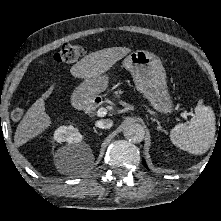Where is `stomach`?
Listing matches in <instances>:
<instances>
[{"mask_svg": "<svg viewBox=\"0 0 221 221\" xmlns=\"http://www.w3.org/2000/svg\"><path fill=\"white\" fill-rule=\"evenodd\" d=\"M123 66L131 73L137 90L149 101L158 112L170 114L174 110L168 91L165 69L161 60L155 54L137 50L129 53L123 61ZM109 83V77L100 73L85 79L73 93V97L83 101L92 100L103 92Z\"/></svg>", "mask_w": 221, "mask_h": 221, "instance_id": "0dacf381", "label": "stomach"}]
</instances>
